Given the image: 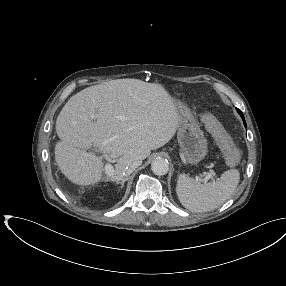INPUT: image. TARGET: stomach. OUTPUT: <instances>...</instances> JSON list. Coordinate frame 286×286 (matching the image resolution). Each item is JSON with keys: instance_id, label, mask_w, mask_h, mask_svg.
<instances>
[{"instance_id": "1", "label": "stomach", "mask_w": 286, "mask_h": 286, "mask_svg": "<svg viewBox=\"0 0 286 286\" xmlns=\"http://www.w3.org/2000/svg\"><path fill=\"white\" fill-rule=\"evenodd\" d=\"M178 114V142L188 163L198 164L207 154V140L190 109L181 102L175 103Z\"/></svg>"}]
</instances>
